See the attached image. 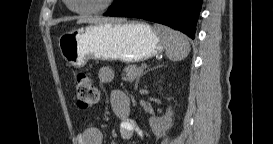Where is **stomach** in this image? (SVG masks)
Instances as JSON below:
<instances>
[{
    "mask_svg": "<svg viewBox=\"0 0 273 144\" xmlns=\"http://www.w3.org/2000/svg\"><path fill=\"white\" fill-rule=\"evenodd\" d=\"M58 45L64 60L76 68L83 67L90 59L136 63L165 49L154 28L136 21L73 29L60 36Z\"/></svg>",
    "mask_w": 273,
    "mask_h": 144,
    "instance_id": "stomach-1",
    "label": "stomach"
}]
</instances>
